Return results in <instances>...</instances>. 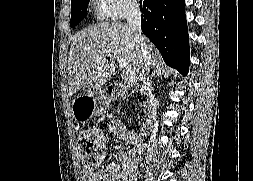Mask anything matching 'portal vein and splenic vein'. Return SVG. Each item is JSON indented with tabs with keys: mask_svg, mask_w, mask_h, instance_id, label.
Here are the masks:
<instances>
[{
	"mask_svg": "<svg viewBox=\"0 0 253 181\" xmlns=\"http://www.w3.org/2000/svg\"><path fill=\"white\" fill-rule=\"evenodd\" d=\"M116 60L121 68L125 70L126 77L132 83H136L138 80L135 70L130 63L123 57L116 56Z\"/></svg>",
	"mask_w": 253,
	"mask_h": 181,
	"instance_id": "1",
	"label": "portal vein and splenic vein"
}]
</instances>
